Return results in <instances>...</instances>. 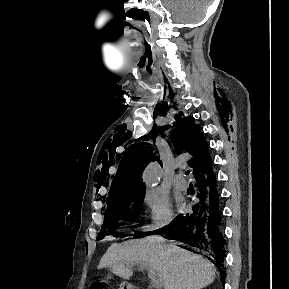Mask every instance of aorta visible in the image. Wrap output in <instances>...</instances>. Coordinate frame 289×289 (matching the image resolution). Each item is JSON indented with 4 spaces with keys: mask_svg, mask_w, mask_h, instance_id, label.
I'll list each match as a JSON object with an SVG mask.
<instances>
[{
    "mask_svg": "<svg viewBox=\"0 0 289 289\" xmlns=\"http://www.w3.org/2000/svg\"><path fill=\"white\" fill-rule=\"evenodd\" d=\"M160 179L159 165L152 163L147 166L143 173V181L148 188L157 186Z\"/></svg>",
    "mask_w": 289,
    "mask_h": 289,
    "instance_id": "1",
    "label": "aorta"
}]
</instances>
